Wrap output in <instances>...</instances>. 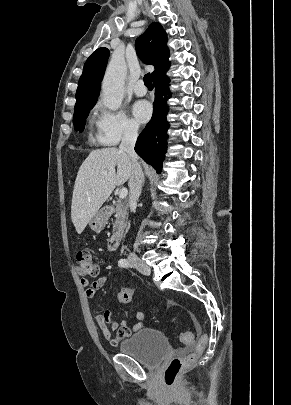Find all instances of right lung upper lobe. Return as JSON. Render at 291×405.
<instances>
[{
    "instance_id": "1",
    "label": "right lung upper lobe",
    "mask_w": 291,
    "mask_h": 405,
    "mask_svg": "<svg viewBox=\"0 0 291 405\" xmlns=\"http://www.w3.org/2000/svg\"><path fill=\"white\" fill-rule=\"evenodd\" d=\"M167 35L161 24L153 22L136 40V49L141 60L154 65L152 79L165 75L170 66ZM109 50L98 48L86 61L76 91L74 112L93 107L98 99L101 80L106 68Z\"/></svg>"
}]
</instances>
